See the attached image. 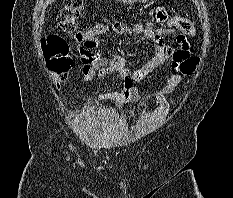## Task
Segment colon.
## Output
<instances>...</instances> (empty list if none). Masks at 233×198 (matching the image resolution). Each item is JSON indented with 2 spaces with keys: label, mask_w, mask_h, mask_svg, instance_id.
Returning <instances> with one entry per match:
<instances>
[{
  "label": "colon",
  "mask_w": 233,
  "mask_h": 198,
  "mask_svg": "<svg viewBox=\"0 0 233 198\" xmlns=\"http://www.w3.org/2000/svg\"><path fill=\"white\" fill-rule=\"evenodd\" d=\"M84 10V0H65L62 11L63 20L59 23V30L82 47L92 48L96 45L99 35L102 33L101 26L89 29H79L78 22ZM169 26L179 29L186 34H194L193 23L181 16L169 19ZM46 64L53 74L56 82H63L69 73L72 61L69 57V49L66 41L59 37L50 35L41 40ZM176 59V70L183 75L191 74L199 63V58L189 53H178Z\"/></svg>",
  "instance_id": "1"
}]
</instances>
